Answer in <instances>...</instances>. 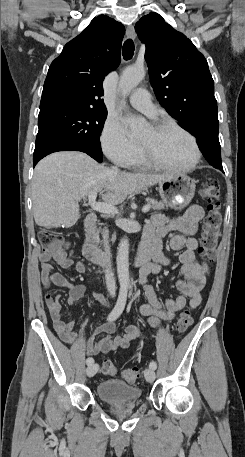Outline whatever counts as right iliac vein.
I'll return each mask as SVG.
<instances>
[{"label":"right iliac vein","instance_id":"right-iliac-vein-1","mask_svg":"<svg viewBox=\"0 0 245 457\" xmlns=\"http://www.w3.org/2000/svg\"><path fill=\"white\" fill-rule=\"evenodd\" d=\"M97 371H98L97 363H92V364L88 365V367L86 369V373H87L88 377L94 376L97 373Z\"/></svg>","mask_w":245,"mask_h":457}]
</instances>
